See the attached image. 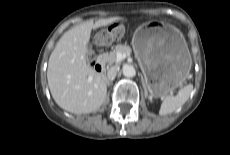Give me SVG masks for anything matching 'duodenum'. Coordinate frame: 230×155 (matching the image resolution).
Masks as SVG:
<instances>
[{
  "label": "duodenum",
  "instance_id": "duodenum-1",
  "mask_svg": "<svg viewBox=\"0 0 230 155\" xmlns=\"http://www.w3.org/2000/svg\"><path fill=\"white\" fill-rule=\"evenodd\" d=\"M94 70L97 74L103 75L105 73V65L102 60H97L94 63Z\"/></svg>",
  "mask_w": 230,
  "mask_h": 155
}]
</instances>
